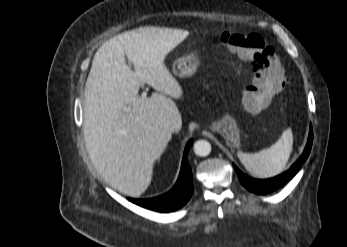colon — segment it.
Masks as SVG:
<instances>
[{
  "label": "colon",
  "mask_w": 347,
  "mask_h": 247,
  "mask_svg": "<svg viewBox=\"0 0 347 247\" xmlns=\"http://www.w3.org/2000/svg\"><path fill=\"white\" fill-rule=\"evenodd\" d=\"M220 42L240 59L251 64L253 84L248 86L238 105L243 110L256 111L263 108L269 97L278 93L285 84L284 69L272 46L255 33L225 31L219 35Z\"/></svg>",
  "instance_id": "colon-1"
}]
</instances>
